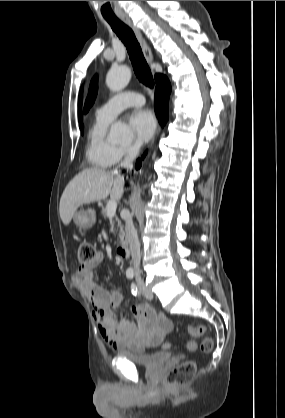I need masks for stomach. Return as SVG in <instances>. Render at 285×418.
Returning <instances> with one entry per match:
<instances>
[{
    "instance_id": "obj_1",
    "label": "stomach",
    "mask_w": 285,
    "mask_h": 418,
    "mask_svg": "<svg viewBox=\"0 0 285 418\" xmlns=\"http://www.w3.org/2000/svg\"><path fill=\"white\" fill-rule=\"evenodd\" d=\"M95 220V213L90 209L82 210L74 215V222L81 231L90 228Z\"/></svg>"
}]
</instances>
